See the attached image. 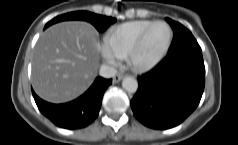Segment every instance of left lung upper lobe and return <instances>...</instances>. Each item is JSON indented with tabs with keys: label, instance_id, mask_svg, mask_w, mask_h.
I'll use <instances>...</instances> for the list:
<instances>
[{
	"label": "left lung upper lobe",
	"instance_id": "5c2ea615",
	"mask_svg": "<svg viewBox=\"0 0 238 145\" xmlns=\"http://www.w3.org/2000/svg\"><path fill=\"white\" fill-rule=\"evenodd\" d=\"M170 20H171V19L166 18V21H167L168 23L170 22ZM188 41H196L195 38L193 37V35L191 34V32L189 33V38H187V39L184 40V41H174V40H173L170 49H171V48H174V47H176V46H178V45H180V44H182V43H184V42H188Z\"/></svg>",
	"mask_w": 238,
	"mask_h": 145
}]
</instances>
